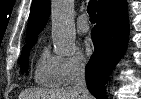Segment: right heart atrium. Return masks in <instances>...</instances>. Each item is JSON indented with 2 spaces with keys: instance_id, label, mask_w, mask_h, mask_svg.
<instances>
[{
  "instance_id": "right-heart-atrium-1",
  "label": "right heart atrium",
  "mask_w": 141,
  "mask_h": 99,
  "mask_svg": "<svg viewBox=\"0 0 141 99\" xmlns=\"http://www.w3.org/2000/svg\"><path fill=\"white\" fill-rule=\"evenodd\" d=\"M59 67L62 82L70 83L84 73L86 59L80 52L59 57Z\"/></svg>"
}]
</instances>
